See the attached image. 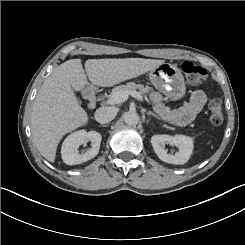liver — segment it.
<instances>
[{"label": "liver", "mask_w": 245, "mask_h": 245, "mask_svg": "<svg viewBox=\"0 0 245 245\" xmlns=\"http://www.w3.org/2000/svg\"><path fill=\"white\" fill-rule=\"evenodd\" d=\"M162 63V60L142 58L89 59L85 66L91 83L111 86L148 72ZM71 85L77 90H82L87 85L81 59L68 60L55 68L44 81L33 105V141L38 151L49 161H53L62 135L87 120Z\"/></svg>", "instance_id": "1"}]
</instances>
